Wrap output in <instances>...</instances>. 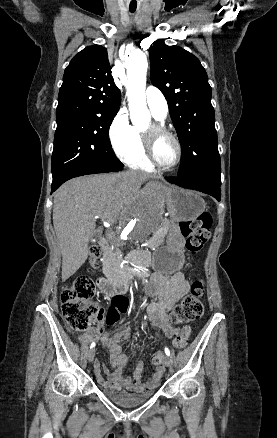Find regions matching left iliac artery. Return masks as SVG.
<instances>
[{
  "instance_id": "1",
  "label": "left iliac artery",
  "mask_w": 277,
  "mask_h": 438,
  "mask_svg": "<svg viewBox=\"0 0 277 438\" xmlns=\"http://www.w3.org/2000/svg\"><path fill=\"white\" fill-rule=\"evenodd\" d=\"M164 350H165L166 355H167V356H170V351H169V349H168L167 347H165Z\"/></svg>"
}]
</instances>
